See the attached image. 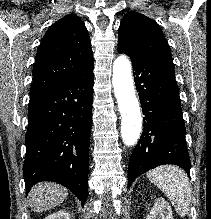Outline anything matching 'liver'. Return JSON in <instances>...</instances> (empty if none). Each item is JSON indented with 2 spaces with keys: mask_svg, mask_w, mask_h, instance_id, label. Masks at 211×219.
<instances>
[{
  "mask_svg": "<svg viewBox=\"0 0 211 219\" xmlns=\"http://www.w3.org/2000/svg\"><path fill=\"white\" fill-rule=\"evenodd\" d=\"M67 195L68 190L60 184L38 183L29 193L30 207L34 212H43L61 204Z\"/></svg>",
  "mask_w": 211,
  "mask_h": 219,
  "instance_id": "6515ba94",
  "label": "liver"
}]
</instances>
